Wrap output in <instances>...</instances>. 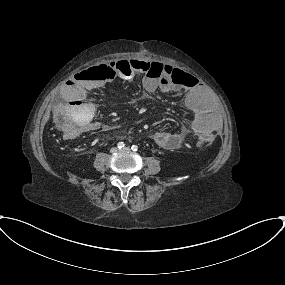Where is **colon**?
Wrapping results in <instances>:
<instances>
[{
  "label": "colon",
  "mask_w": 285,
  "mask_h": 285,
  "mask_svg": "<svg viewBox=\"0 0 285 285\" xmlns=\"http://www.w3.org/2000/svg\"><path fill=\"white\" fill-rule=\"evenodd\" d=\"M107 74L120 75L128 78L134 75L143 74L158 80L168 87L188 84L187 76L178 69L166 67L157 62H151L147 65L146 63L137 60L109 62L98 67L83 70L79 76L87 80H95L102 79ZM89 119V117L84 118L83 122L86 123ZM53 122L55 127L63 134H70L76 130V126L72 123L70 115L63 107H59L55 110ZM199 141L203 144H209L212 141V137L209 134H203L199 137Z\"/></svg>",
  "instance_id": "1"
}]
</instances>
